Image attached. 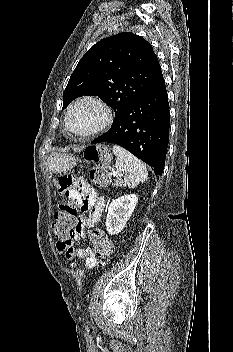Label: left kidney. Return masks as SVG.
<instances>
[{
    "label": "left kidney",
    "mask_w": 233,
    "mask_h": 352,
    "mask_svg": "<svg viewBox=\"0 0 233 352\" xmlns=\"http://www.w3.org/2000/svg\"><path fill=\"white\" fill-rule=\"evenodd\" d=\"M137 202L138 197L135 194L124 195L111 202L106 217V228L109 234H118L123 230Z\"/></svg>",
    "instance_id": "5707ae66"
}]
</instances>
